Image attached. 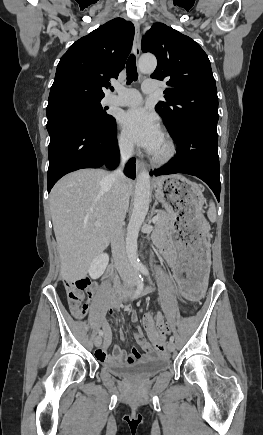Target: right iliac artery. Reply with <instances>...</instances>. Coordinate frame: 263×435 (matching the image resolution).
<instances>
[{
  "label": "right iliac artery",
  "instance_id": "right-iliac-artery-1",
  "mask_svg": "<svg viewBox=\"0 0 263 435\" xmlns=\"http://www.w3.org/2000/svg\"><path fill=\"white\" fill-rule=\"evenodd\" d=\"M143 290V278L141 274L137 276V288L130 294V299H136L139 297L140 293ZM99 335H103V332L100 330Z\"/></svg>",
  "mask_w": 263,
  "mask_h": 435
}]
</instances>
